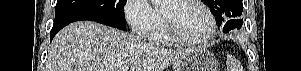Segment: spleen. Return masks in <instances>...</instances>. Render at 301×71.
<instances>
[{
	"label": "spleen",
	"instance_id": "spleen-1",
	"mask_svg": "<svg viewBox=\"0 0 301 71\" xmlns=\"http://www.w3.org/2000/svg\"><path fill=\"white\" fill-rule=\"evenodd\" d=\"M226 64L228 71H243L241 64L232 55H227Z\"/></svg>",
	"mask_w": 301,
	"mask_h": 71
}]
</instances>
